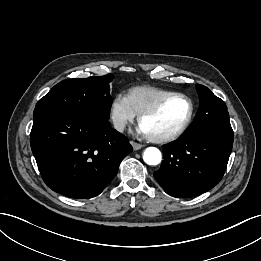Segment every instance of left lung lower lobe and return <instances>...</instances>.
Masks as SVG:
<instances>
[{
	"label": "left lung lower lobe",
	"mask_w": 261,
	"mask_h": 261,
	"mask_svg": "<svg viewBox=\"0 0 261 261\" xmlns=\"http://www.w3.org/2000/svg\"><path fill=\"white\" fill-rule=\"evenodd\" d=\"M232 146V128L182 135L162 147L164 160L154 177L173 197L202 194L222 179Z\"/></svg>",
	"instance_id": "obj_1"
}]
</instances>
